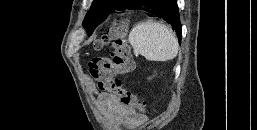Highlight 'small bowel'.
Returning <instances> with one entry per match:
<instances>
[{
  "label": "small bowel",
  "instance_id": "c3829d8e",
  "mask_svg": "<svg viewBox=\"0 0 257 130\" xmlns=\"http://www.w3.org/2000/svg\"><path fill=\"white\" fill-rule=\"evenodd\" d=\"M90 86L93 83L90 82ZM100 103L106 107L109 115L114 121L128 127H136L144 121V117L138 114L133 108L125 107L119 104L116 98L109 94H100L98 96Z\"/></svg>",
  "mask_w": 257,
  "mask_h": 130
}]
</instances>
